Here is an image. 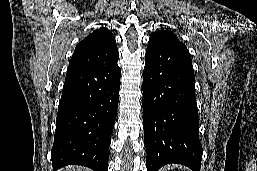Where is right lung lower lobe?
Returning <instances> with one entry per match:
<instances>
[{"instance_id": "right-lung-lower-lobe-1", "label": "right lung lower lobe", "mask_w": 257, "mask_h": 171, "mask_svg": "<svg viewBox=\"0 0 257 171\" xmlns=\"http://www.w3.org/2000/svg\"><path fill=\"white\" fill-rule=\"evenodd\" d=\"M117 62L67 72L51 151L54 171L71 164L107 171L119 100L121 69Z\"/></svg>"}]
</instances>
